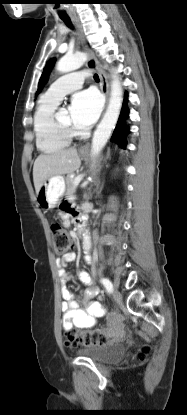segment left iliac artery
<instances>
[{"instance_id": "left-iliac-artery-1", "label": "left iliac artery", "mask_w": 187, "mask_h": 415, "mask_svg": "<svg viewBox=\"0 0 187 415\" xmlns=\"http://www.w3.org/2000/svg\"><path fill=\"white\" fill-rule=\"evenodd\" d=\"M101 283L104 285V287L106 288L107 292L111 293L113 291V285L110 282L109 279L107 278H102L101 279Z\"/></svg>"}]
</instances>
